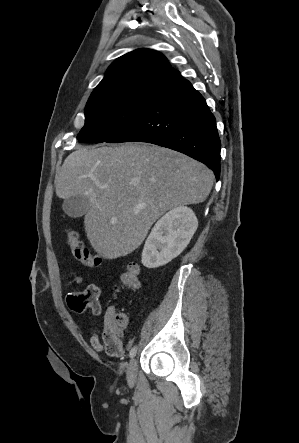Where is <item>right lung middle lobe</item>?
Listing matches in <instances>:
<instances>
[{"instance_id":"1","label":"right lung middle lobe","mask_w":299,"mask_h":443,"mask_svg":"<svg viewBox=\"0 0 299 443\" xmlns=\"http://www.w3.org/2000/svg\"><path fill=\"white\" fill-rule=\"evenodd\" d=\"M164 92L161 88L133 87L90 96L85 107V125L77 140L106 142L131 125Z\"/></svg>"}]
</instances>
